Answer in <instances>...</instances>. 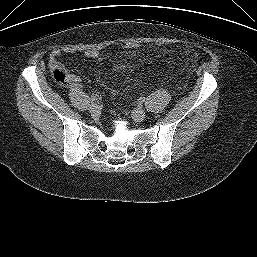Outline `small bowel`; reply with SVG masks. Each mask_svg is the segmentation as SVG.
<instances>
[{"instance_id": "obj_1", "label": "small bowel", "mask_w": 257, "mask_h": 257, "mask_svg": "<svg viewBox=\"0 0 257 257\" xmlns=\"http://www.w3.org/2000/svg\"><path fill=\"white\" fill-rule=\"evenodd\" d=\"M62 54V50L59 48H56L54 50L51 51L50 55H49V66L53 69L56 67H60V62H59V58ZM99 55L98 51L96 50H87L84 52L80 53L81 57L84 58H97ZM132 68V65L127 62V61H116L113 62V69L117 72H124L127 71L128 69ZM69 85L70 86H74L77 85L80 82V77L78 75L75 74H70L69 75Z\"/></svg>"}]
</instances>
